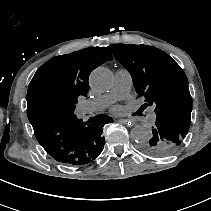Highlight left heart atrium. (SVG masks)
<instances>
[{
	"instance_id": "obj_1",
	"label": "left heart atrium",
	"mask_w": 211,
	"mask_h": 211,
	"mask_svg": "<svg viewBox=\"0 0 211 211\" xmlns=\"http://www.w3.org/2000/svg\"><path fill=\"white\" fill-rule=\"evenodd\" d=\"M122 110H123L122 107H116V108H115V111H117V112H120V111H122Z\"/></svg>"
}]
</instances>
